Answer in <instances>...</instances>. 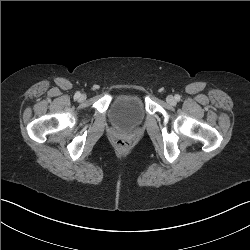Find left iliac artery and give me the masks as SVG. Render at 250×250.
<instances>
[{
    "instance_id": "obj_1",
    "label": "left iliac artery",
    "mask_w": 250,
    "mask_h": 250,
    "mask_svg": "<svg viewBox=\"0 0 250 250\" xmlns=\"http://www.w3.org/2000/svg\"><path fill=\"white\" fill-rule=\"evenodd\" d=\"M175 99H176L177 101H179V100H180V96H179V95H175Z\"/></svg>"
}]
</instances>
